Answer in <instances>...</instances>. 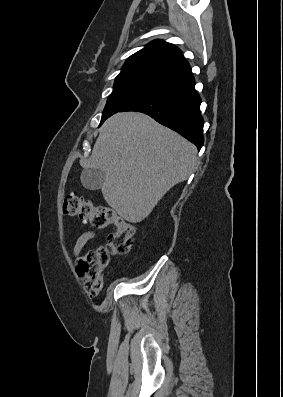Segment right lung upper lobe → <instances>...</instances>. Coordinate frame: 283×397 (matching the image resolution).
I'll return each mask as SVG.
<instances>
[{
    "mask_svg": "<svg viewBox=\"0 0 283 397\" xmlns=\"http://www.w3.org/2000/svg\"><path fill=\"white\" fill-rule=\"evenodd\" d=\"M131 72H142L168 84L192 75L191 67L182 52L163 40H154L131 55L120 74Z\"/></svg>",
    "mask_w": 283,
    "mask_h": 397,
    "instance_id": "right-lung-upper-lobe-1",
    "label": "right lung upper lobe"
}]
</instances>
